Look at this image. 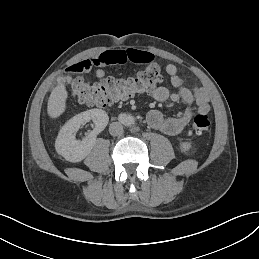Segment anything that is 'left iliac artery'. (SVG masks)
Instances as JSON below:
<instances>
[{"mask_svg":"<svg viewBox=\"0 0 259 259\" xmlns=\"http://www.w3.org/2000/svg\"><path fill=\"white\" fill-rule=\"evenodd\" d=\"M134 118L132 117V116H129L128 118H127V124L128 125H132V124H134Z\"/></svg>","mask_w":259,"mask_h":259,"instance_id":"44dca946","label":"left iliac artery"}]
</instances>
